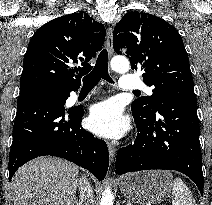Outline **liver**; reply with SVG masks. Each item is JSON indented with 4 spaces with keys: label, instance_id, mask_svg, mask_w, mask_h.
<instances>
[{
    "label": "liver",
    "instance_id": "1",
    "mask_svg": "<svg viewBox=\"0 0 212 205\" xmlns=\"http://www.w3.org/2000/svg\"><path fill=\"white\" fill-rule=\"evenodd\" d=\"M78 167L54 157H39L14 174L10 187L14 205H74Z\"/></svg>",
    "mask_w": 212,
    "mask_h": 205
}]
</instances>
